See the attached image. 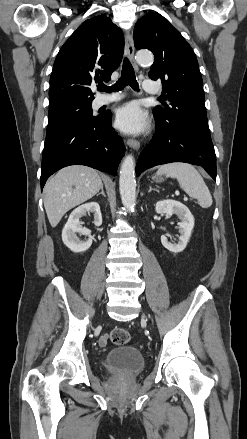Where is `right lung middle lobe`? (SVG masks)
I'll return each mask as SVG.
<instances>
[{"instance_id":"right-lung-middle-lobe-1","label":"right lung middle lobe","mask_w":247,"mask_h":439,"mask_svg":"<svg viewBox=\"0 0 247 439\" xmlns=\"http://www.w3.org/2000/svg\"><path fill=\"white\" fill-rule=\"evenodd\" d=\"M91 104L92 102H78L49 111L47 131L75 121L95 120L99 116H93Z\"/></svg>"}]
</instances>
